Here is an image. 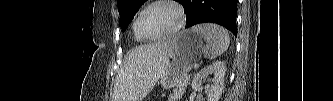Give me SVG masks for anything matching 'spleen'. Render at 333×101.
<instances>
[{
    "label": "spleen",
    "mask_w": 333,
    "mask_h": 101,
    "mask_svg": "<svg viewBox=\"0 0 333 101\" xmlns=\"http://www.w3.org/2000/svg\"><path fill=\"white\" fill-rule=\"evenodd\" d=\"M192 30L200 33L205 40L204 56L208 59H215L229 47L230 38L228 32L219 25L206 23L193 26Z\"/></svg>",
    "instance_id": "3e777b00"
}]
</instances>
